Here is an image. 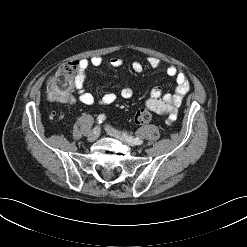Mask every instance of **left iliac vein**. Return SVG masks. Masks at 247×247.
<instances>
[{"label":"left iliac vein","mask_w":247,"mask_h":247,"mask_svg":"<svg viewBox=\"0 0 247 247\" xmlns=\"http://www.w3.org/2000/svg\"><path fill=\"white\" fill-rule=\"evenodd\" d=\"M105 129H106V131H107V133L109 135H111V136H113V137H115V138H117V139H119V140H121L123 142H126L129 145H131V146H134L135 145L134 143H132L131 141H129L128 138L125 135H123L120 131L112 128L111 126L107 125L105 127Z\"/></svg>","instance_id":"left-iliac-vein-1"}]
</instances>
